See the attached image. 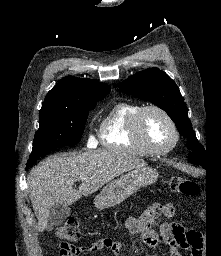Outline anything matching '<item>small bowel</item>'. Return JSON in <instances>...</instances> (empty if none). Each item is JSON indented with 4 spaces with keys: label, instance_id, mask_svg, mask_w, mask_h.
<instances>
[{
    "label": "small bowel",
    "instance_id": "small-bowel-1",
    "mask_svg": "<svg viewBox=\"0 0 221 256\" xmlns=\"http://www.w3.org/2000/svg\"><path fill=\"white\" fill-rule=\"evenodd\" d=\"M174 208L171 204H156L148 208L138 217H128L125 227L131 234H139L148 248H154L159 236L169 246V256H181L180 250L186 248V235L182 226L177 223H162L158 225L161 217H172ZM109 250L113 256H118L121 251L119 242L111 238H101L90 245L79 248L81 251L98 253ZM61 256H69L60 252ZM78 256V255H77Z\"/></svg>",
    "mask_w": 221,
    "mask_h": 256
}]
</instances>
